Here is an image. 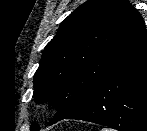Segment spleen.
<instances>
[{
    "instance_id": "3e777b00",
    "label": "spleen",
    "mask_w": 147,
    "mask_h": 131,
    "mask_svg": "<svg viewBox=\"0 0 147 131\" xmlns=\"http://www.w3.org/2000/svg\"><path fill=\"white\" fill-rule=\"evenodd\" d=\"M102 131H113L111 129H102Z\"/></svg>"
}]
</instances>
